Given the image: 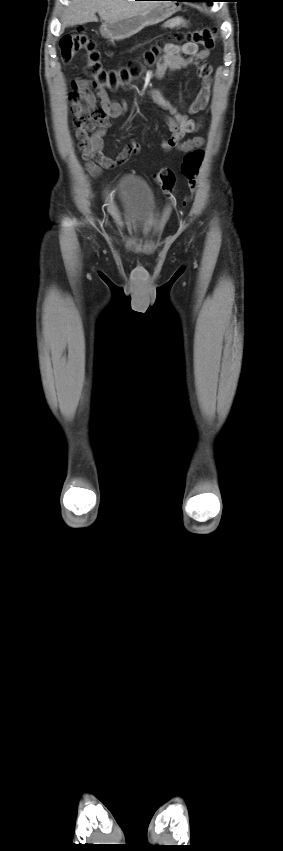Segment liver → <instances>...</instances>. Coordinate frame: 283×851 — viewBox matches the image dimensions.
<instances>
[{"label":"liver","instance_id":"obj_1","mask_svg":"<svg viewBox=\"0 0 283 851\" xmlns=\"http://www.w3.org/2000/svg\"><path fill=\"white\" fill-rule=\"evenodd\" d=\"M156 1L135 0H72L64 10L63 26L97 22L96 13L105 22H115L132 17L155 6Z\"/></svg>","mask_w":283,"mask_h":851}]
</instances>
